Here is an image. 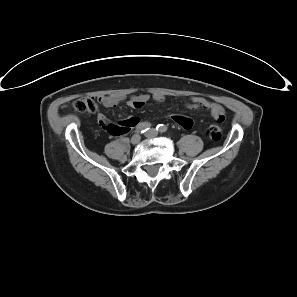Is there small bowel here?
<instances>
[{"label":"small bowel","mask_w":297,"mask_h":297,"mask_svg":"<svg viewBox=\"0 0 297 297\" xmlns=\"http://www.w3.org/2000/svg\"><path fill=\"white\" fill-rule=\"evenodd\" d=\"M102 104L107 108H113L119 105L122 102H126L127 106L133 109H141L143 108L149 100V96L147 95H139L134 96L129 99L113 97V96H103L100 98ZM153 100L156 102H161L164 100V97L161 95H154ZM189 109H198L203 108L210 111L212 118L216 121H223L225 118V110L218 103L206 100L200 97H192L190 103L187 104ZM172 121L179 124L181 127L185 129H190L193 126V121L191 118L173 115L170 117ZM99 123L101 126L105 127V129L112 134H122L126 133L129 128L135 126L138 123L137 118H128L125 120L119 121L116 125L108 124L104 115L100 114L98 116Z\"/></svg>","instance_id":"obj_1"}]
</instances>
